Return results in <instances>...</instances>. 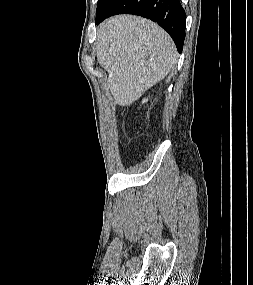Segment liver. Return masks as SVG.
Masks as SVG:
<instances>
[{"label": "liver", "mask_w": 253, "mask_h": 285, "mask_svg": "<svg viewBox=\"0 0 253 285\" xmlns=\"http://www.w3.org/2000/svg\"><path fill=\"white\" fill-rule=\"evenodd\" d=\"M97 60L108 72L115 103L128 106L171 72L177 54L171 37L156 23L118 15L98 27Z\"/></svg>", "instance_id": "liver-1"}]
</instances>
